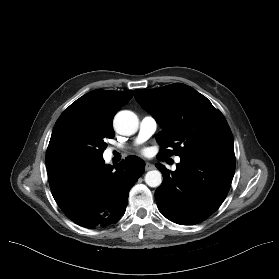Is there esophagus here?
I'll list each match as a JSON object with an SVG mask.
<instances>
[{
	"instance_id": "1",
	"label": "esophagus",
	"mask_w": 279,
	"mask_h": 279,
	"mask_svg": "<svg viewBox=\"0 0 279 279\" xmlns=\"http://www.w3.org/2000/svg\"><path fill=\"white\" fill-rule=\"evenodd\" d=\"M154 168H155L154 165L151 164V163H149V162H147V163L145 164V170H146V171L152 170V169H154Z\"/></svg>"
}]
</instances>
